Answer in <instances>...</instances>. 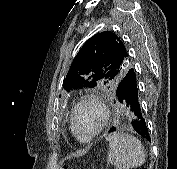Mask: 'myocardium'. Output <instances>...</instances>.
I'll return each instance as SVG.
<instances>
[{
    "label": "myocardium",
    "mask_w": 177,
    "mask_h": 169,
    "mask_svg": "<svg viewBox=\"0 0 177 169\" xmlns=\"http://www.w3.org/2000/svg\"><path fill=\"white\" fill-rule=\"evenodd\" d=\"M85 104H92L100 113V124L97 129L90 135L84 136L79 133L76 126V115L78 110ZM109 120V111L104 102L95 94L82 96L74 105L70 116V127L74 135L81 141L89 142L97 137L107 126Z\"/></svg>",
    "instance_id": "f54148a6"
}]
</instances>
